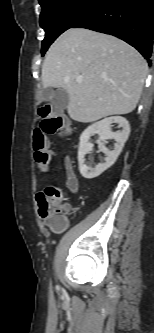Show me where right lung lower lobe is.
I'll return each mask as SVG.
<instances>
[{
  "label": "right lung lower lobe",
  "mask_w": 154,
  "mask_h": 333,
  "mask_svg": "<svg viewBox=\"0 0 154 333\" xmlns=\"http://www.w3.org/2000/svg\"><path fill=\"white\" fill-rule=\"evenodd\" d=\"M116 36L135 47L151 63L154 0H100L71 28Z\"/></svg>",
  "instance_id": "1"
}]
</instances>
